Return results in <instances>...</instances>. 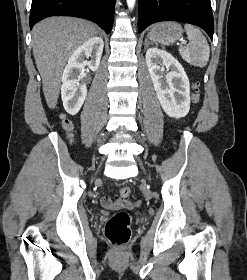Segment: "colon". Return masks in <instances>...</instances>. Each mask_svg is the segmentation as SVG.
<instances>
[{"instance_id":"obj_1","label":"colon","mask_w":247,"mask_h":280,"mask_svg":"<svg viewBox=\"0 0 247 280\" xmlns=\"http://www.w3.org/2000/svg\"><path fill=\"white\" fill-rule=\"evenodd\" d=\"M195 95L194 100L198 101V84L194 85ZM65 129L70 128L68 120L63 121ZM131 189L129 187H122L119 190L118 200L123 201L129 198ZM105 236L111 245L120 247L128 243L131 237V218L126 211H118L107 221L105 226Z\"/></svg>"}]
</instances>
